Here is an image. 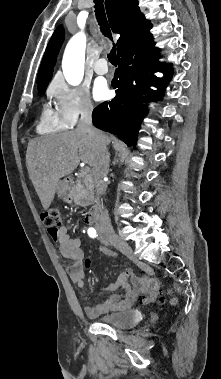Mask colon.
<instances>
[{"instance_id":"obj_1","label":"colon","mask_w":221,"mask_h":379,"mask_svg":"<svg viewBox=\"0 0 221 379\" xmlns=\"http://www.w3.org/2000/svg\"><path fill=\"white\" fill-rule=\"evenodd\" d=\"M41 221L44 224L45 227H47V230L49 234L55 235L57 232V229L60 225V214L58 210L56 209H49L41 213L40 215ZM147 285V295H143L140 298V302L143 304H149L154 302L158 294L160 292V281L156 278H151L146 283ZM171 295V291L168 292ZM172 301L174 302L175 299L172 298Z\"/></svg>"}]
</instances>
